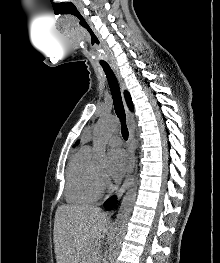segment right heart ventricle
<instances>
[{"label": "right heart ventricle", "instance_id": "obj_1", "mask_svg": "<svg viewBox=\"0 0 220 263\" xmlns=\"http://www.w3.org/2000/svg\"><path fill=\"white\" fill-rule=\"evenodd\" d=\"M90 154L89 147H81L68 164L65 187V198L68 203L88 204L99 198Z\"/></svg>", "mask_w": 220, "mask_h": 263}]
</instances>
